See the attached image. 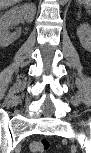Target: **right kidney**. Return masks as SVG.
Wrapping results in <instances>:
<instances>
[{
    "label": "right kidney",
    "mask_w": 91,
    "mask_h": 153,
    "mask_svg": "<svg viewBox=\"0 0 91 153\" xmlns=\"http://www.w3.org/2000/svg\"><path fill=\"white\" fill-rule=\"evenodd\" d=\"M35 14L36 7L25 4L13 7L2 15L0 18V46L3 48L8 47L19 37V32L10 34L9 28L16 26L22 18L31 23L34 20Z\"/></svg>",
    "instance_id": "right-kidney-1"
}]
</instances>
